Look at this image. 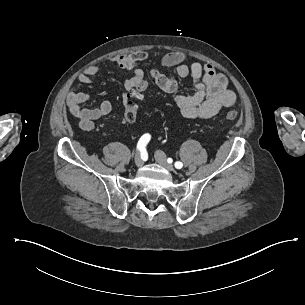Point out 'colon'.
<instances>
[{"instance_id": "colon-1", "label": "colon", "mask_w": 305, "mask_h": 305, "mask_svg": "<svg viewBox=\"0 0 305 305\" xmlns=\"http://www.w3.org/2000/svg\"><path fill=\"white\" fill-rule=\"evenodd\" d=\"M146 89V84L144 82H139L137 86H133L131 88V95L127 97V109H126V114L124 116L125 121L128 123H132L135 121L136 118V99L140 98L141 96V91H144ZM238 116L237 111H229L225 114V118L227 120H232Z\"/></svg>"}]
</instances>
